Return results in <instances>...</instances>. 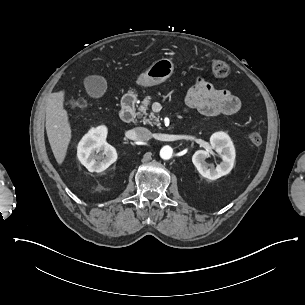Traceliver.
Wrapping results in <instances>:
<instances>
[{"label":"liver","instance_id":"obj_1","mask_svg":"<svg viewBox=\"0 0 305 305\" xmlns=\"http://www.w3.org/2000/svg\"><path fill=\"white\" fill-rule=\"evenodd\" d=\"M66 95L67 90L61 89L46 100V130L59 166L65 162L72 141V125L65 109Z\"/></svg>","mask_w":305,"mask_h":305}]
</instances>
